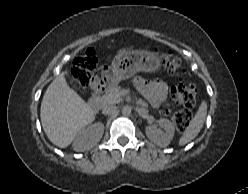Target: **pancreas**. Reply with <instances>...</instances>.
<instances>
[{
  "label": "pancreas",
  "mask_w": 248,
  "mask_h": 194,
  "mask_svg": "<svg viewBox=\"0 0 248 194\" xmlns=\"http://www.w3.org/2000/svg\"><path fill=\"white\" fill-rule=\"evenodd\" d=\"M122 101V92L119 87H114L106 94L100 97V102L102 105L107 104H117Z\"/></svg>",
  "instance_id": "pancreas-1"
}]
</instances>
